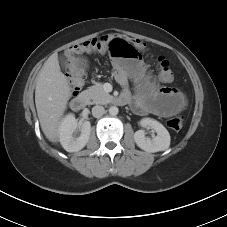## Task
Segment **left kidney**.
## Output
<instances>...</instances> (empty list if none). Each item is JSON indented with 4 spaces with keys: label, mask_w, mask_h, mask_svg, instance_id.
Wrapping results in <instances>:
<instances>
[{
    "label": "left kidney",
    "mask_w": 227,
    "mask_h": 227,
    "mask_svg": "<svg viewBox=\"0 0 227 227\" xmlns=\"http://www.w3.org/2000/svg\"><path fill=\"white\" fill-rule=\"evenodd\" d=\"M143 127H150L154 129L157 136L150 139L145 136L144 130H138L134 133V140L138 147L146 152L164 151L170 146V134L167 129L158 121L151 118H143L141 120Z\"/></svg>",
    "instance_id": "obj_1"
}]
</instances>
